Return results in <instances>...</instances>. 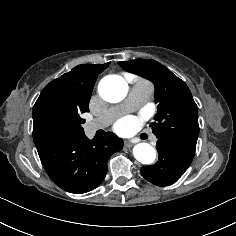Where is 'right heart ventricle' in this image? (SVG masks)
I'll return each mask as SVG.
<instances>
[{"mask_svg":"<svg viewBox=\"0 0 236 236\" xmlns=\"http://www.w3.org/2000/svg\"><path fill=\"white\" fill-rule=\"evenodd\" d=\"M136 84H142V85H150L149 82L145 81V80H139ZM151 86V85H150Z\"/></svg>","mask_w":236,"mask_h":236,"instance_id":"obj_1","label":"right heart ventricle"}]
</instances>
